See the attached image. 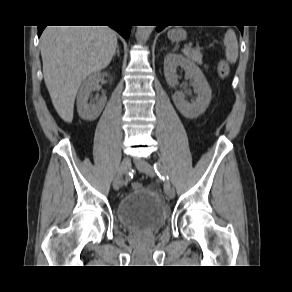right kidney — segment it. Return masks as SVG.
Listing matches in <instances>:
<instances>
[{
    "label": "right kidney",
    "mask_w": 292,
    "mask_h": 292,
    "mask_svg": "<svg viewBox=\"0 0 292 292\" xmlns=\"http://www.w3.org/2000/svg\"><path fill=\"white\" fill-rule=\"evenodd\" d=\"M102 75L108 76L106 72L92 73L83 81L80 87L77 95V110L79 116L84 120L93 121L97 119L104 108L106 97H101L97 102L92 100L88 103L89 96L92 91H95L98 88Z\"/></svg>",
    "instance_id": "obj_1"
}]
</instances>
